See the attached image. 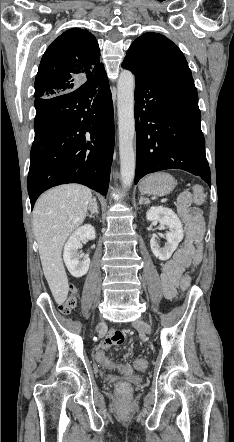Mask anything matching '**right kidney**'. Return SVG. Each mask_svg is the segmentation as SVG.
Here are the masks:
<instances>
[{"instance_id":"obj_1","label":"right kidney","mask_w":234,"mask_h":442,"mask_svg":"<svg viewBox=\"0 0 234 442\" xmlns=\"http://www.w3.org/2000/svg\"><path fill=\"white\" fill-rule=\"evenodd\" d=\"M95 238V229L90 224L79 227L69 237L64 246L63 259L72 276L80 278L88 272L90 258L79 252V249L82 247V240H94Z\"/></svg>"}]
</instances>
